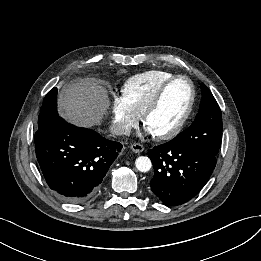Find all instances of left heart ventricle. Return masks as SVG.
<instances>
[{"label":"left heart ventricle","instance_id":"b2bd125f","mask_svg":"<svg viewBox=\"0 0 261 261\" xmlns=\"http://www.w3.org/2000/svg\"><path fill=\"white\" fill-rule=\"evenodd\" d=\"M191 97L189 83L174 82L166 91L159 108L148 118L146 128L154 135L173 129L185 113Z\"/></svg>","mask_w":261,"mask_h":261}]
</instances>
